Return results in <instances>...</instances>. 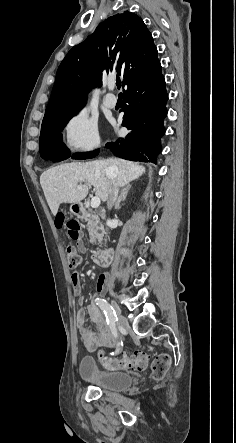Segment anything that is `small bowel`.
<instances>
[{
  "instance_id": "1",
  "label": "small bowel",
  "mask_w": 236,
  "mask_h": 443,
  "mask_svg": "<svg viewBox=\"0 0 236 443\" xmlns=\"http://www.w3.org/2000/svg\"><path fill=\"white\" fill-rule=\"evenodd\" d=\"M77 247L82 252L86 250V247L82 241L77 243ZM74 273L76 274V281L72 279L73 290L75 294L79 295L82 288L77 272H73V274ZM106 279L107 276L105 274H101L99 276L96 283L95 296L102 293L106 289ZM82 302L83 299L80 300L81 308L76 315V325L79 329H81V340L83 345L89 350H94L98 346H104L107 348L114 347L116 345V337L112 333L104 315L94 303L89 304L85 311V309L82 307ZM86 312L89 315L90 321L95 327L96 331L87 330L84 328Z\"/></svg>"
}]
</instances>
